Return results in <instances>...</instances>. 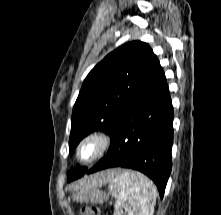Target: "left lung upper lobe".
<instances>
[{
	"instance_id": "5c2ea615",
	"label": "left lung upper lobe",
	"mask_w": 221,
	"mask_h": 215,
	"mask_svg": "<svg viewBox=\"0 0 221 215\" xmlns=\"http://www.w3.org/2000/svg\"><path fill=\"white\" fill-rule=\"evenodd\" d=\"M157 57L147 43L128 42L108 54L88 74L73 107L69 148L93 131L112 135L120 112L143 86ZM87 168H74L68 181Z\"/></svg>"
}]
</instances>
